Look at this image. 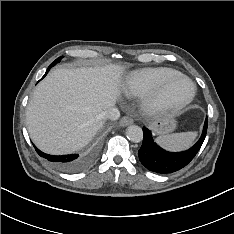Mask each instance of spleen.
<instances>
[{"label":"spleen","instance_id":"obj_1","mask_svg":"<svg viewBox=\"0 0 234 234\" xmlns=\"http://www.w3.org/2000/svg\"><path fill=\"white\" fill-rule=\"evenodd\" d=\"M196 136V132L173 133L157 137L156 142L168 150L178 151L189 148Z\"/></svg>","mask_w":234,"mask_h":234}]
</instances>
